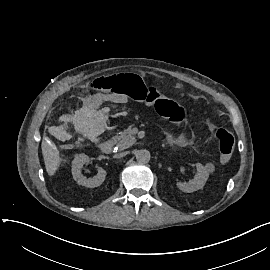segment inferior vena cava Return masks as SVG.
Instances as JSON below:
<instances>
[{"label":"inferior vena cava","instance_id":"inferior-vena-cava-1","mask_svg":"<svg viewBox=\"0 0 270 270\" xmlns=\"http://www.w3.org/2000/svg\"><path fill=\"white\" fill-rule=\"evenodd\" d=\"M123 154H124V155H126V154H127V152H124Z\"/></svg>","mask_w":270,"mask_h":270}]
</instances>
